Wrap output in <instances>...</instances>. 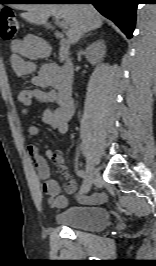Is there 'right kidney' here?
<instances>
[{
  "mask_svg": "<svg viewBox=\"0 0 156 266\" xmlns=\"http://www.w3.org/2000/svg\"><path fill=\"white\" fill-rule=\"evenodd\" d=\"M86 57L92 65L100 63L106 54L104 40H97L89 45L85 50Z\"/></svg>",
  "mask_w": 156,
  "mask_h": 266,
  "instance_id": "1",
  "label": "right kidney"
}]
</instances>
